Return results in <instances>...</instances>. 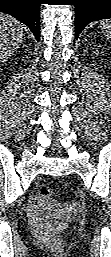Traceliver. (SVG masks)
Returning <instances> with one entry per match:
<instances>
[{"label":"liver","instance_id":"obj_1","mask_svg":"<svg viewBox=\"0 0 111 257\" xmlns=\"http://www.w3.org/2000/svg\"><path fill=\"white\" fill-rule=\"evenodd\" d=\"M24 26L12 17L0 16V61L4 64L19 48L23 41Z\"/></svg>","mask_w":111,"mask_h":257}]
</instances>
